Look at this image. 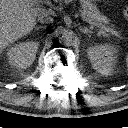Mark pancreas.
I'll list each match as a JSON object with an SVG mask.
<instances>
[{
	"label": "pancreas",
	"instance_id": "1",
	"mask_svg": "<svg viewBox=\"0 0 128 128\" xmlns=\"http://www.w3.org/2000/svg\"><path fill=\"white\" fill-rule=\"evenodd\" d=\"M60 2L62 1H68L71 2L73 0H59ZM93 0H79L82 10H81V16L83 18H86L90 20L91 22L97 24V26L100 28V31L104 34L109 33L112 34L116 37H121L120 32L116 31L113 27L111 26H106L109 24V20L107 19L106 16L102 15L100 11L97 9L96 5L92 3ZM107 35V34H106Z\"/></svg>",
	"mask_w": 128,
	"mask_h": 128
}]
</instances>
